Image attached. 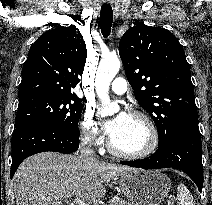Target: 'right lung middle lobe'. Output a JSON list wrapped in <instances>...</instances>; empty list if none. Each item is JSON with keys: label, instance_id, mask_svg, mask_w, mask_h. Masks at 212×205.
<instances>
[{"label": "right lung middle lobe", "instance_id": "right-lung-middle-lobe-1", "mask_svg": "<svg viewBox=\"0 0 212 205\" xmlns=\"http://www.w3.org/2000/svg\"><path fill=\"white\" fill-rule=\"evenodd\" d=\"M83 105L77 98L54 95H33L20 99L16 128L32 123L56 125L71 134L79 135L78 122Z\"/></svg>", "mask_w": 212, "mask_h": 205}]
</instances>
